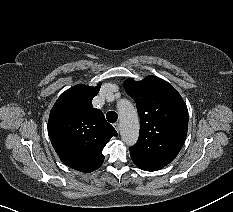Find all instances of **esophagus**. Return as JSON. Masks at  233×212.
Returning a JSON list of instances; mask_svg holds the SVG:
<instances>
[{"instance_id": "esophagus-1", "label": "esophagus", "mask_w": 233, "mask_h": 212, "mask_svg": "<svg viewBox=\"0 0 233 212\" xmlns=\"http://www.w3.org/2000/svg\"><path fill=\"white\" fill-rule=\"evenodd\" d=\"M113 127L115 128V130H116L117 132H119V131H120L119 123H115V124H113Z\"/></svg>"}]
</instances>
